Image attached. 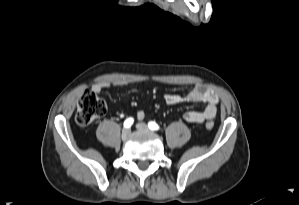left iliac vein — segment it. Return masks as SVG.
Returning <instances> with one entry per match:
<instances>
[{"instance_id":"obj_1","label":"left iliac vein","mask_w":299,"mask_h":205,"mask_svg":"<svg viewBox=\"0 0 299 205\" xmlns=\"http://www.w3.org/2000/svg\"><path fill=\"white\" fill-rule=\"evenodd\" d=\"M136 128L140 131H148V126L145 123H138Z\"/></svg>"}]
</instances>
